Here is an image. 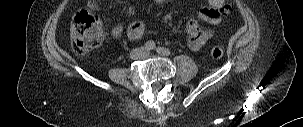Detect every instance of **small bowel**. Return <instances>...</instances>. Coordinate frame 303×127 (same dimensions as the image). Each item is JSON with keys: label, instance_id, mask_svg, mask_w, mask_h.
Wrapping results in <instances>:
<instances>
[{"label": "small bowel", "instance_id": "1", "mask_svg": "<svg viewBox=\"0 0 303 127\" xmlns=\"http://www.w3.org/2000/svg\"><path fill=\"white\" fill-rule=\"evenodd\" d=\"M156 4L162 5L165 0H153ZM87 9L90 11H98L100 9V0H89ZM229 12L228 6L224 0H208V6L203 7L199 11V18L211 25H216L221 20L223 15ZM124 27L117 23L111 28V34L114 37H120L123 34ZM145 32L144 23L136 20L127 29L129 39L133 41L140 40ZM186 33L189 36V48L192 51H198L204 46L213 36V31L210 29L201 28L198 21L191 19L186 25Z\"/></svg>", "mask_w": 303, "mask_h": 127}]
</instances>
